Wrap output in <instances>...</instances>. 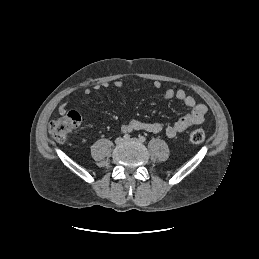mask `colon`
<instances>
[{"mask_svg":"<svg viewBox=\"0 0 259 259\" xmlns=\"http://www.w3.org/2000/svg\"><path fill=\"white\" fill-rule=\"evenodd\" d=\"M80 123L81 115L77 111L71 110L52 120L49 125V132L57 142L63 143ZM204 140L205 132L200 128L194 129L189 133V141L193 144H200Z\"/></svg>","mask_w":259,"mask_h":259,"instance_id":"obj_1","label":"colon"}]
</instances>
